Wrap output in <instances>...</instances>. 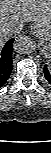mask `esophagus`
Listing matches in <instances>:
<instances>
[{
	"mask_svg": "<svg viewBox=\"0 0 51 153\" xmlns=\"http://www.w3.org/2000/svg\"><path fill=\"white\" fill-rule=\"evenodd\" d=\"M31 32H32L34 35H36V34L39 32L38 27H37L36 25H33V26L31 27Z\"/></svg>",
	"mask_w": 51,
	"mask_h": 153,
	"instance_id": "esophagus-1",
	"label": "esophagus"
}]
</instances>
